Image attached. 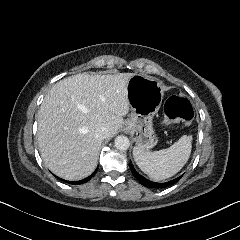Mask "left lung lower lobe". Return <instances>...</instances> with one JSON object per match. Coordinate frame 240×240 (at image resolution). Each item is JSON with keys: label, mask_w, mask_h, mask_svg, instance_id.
Masks as SVG:
<instances>
[{"label": "left lung lower lobe", "mask_w": 240, "mask_h": 240, "mask_svg": "<svg viewBox=\"0 0 240 240\" xmlns=\"http://www.w3.org/2000/svg\"><path fill=\"white\" fill-rule=\"evenodd\" d=\"M130 168L132 171L133 176L145 187L148 188H164L166 186H170L172 184H175L176 182H178L182 175L180 177H178L177 179H174L172 181L166 182V183H155L152 181L147 180L146 178H144L143 176H141L133 167L132 164H130Z\"/></svg>", "instance_id": "left-lung-lower-lobe-1"}]
</instances>
